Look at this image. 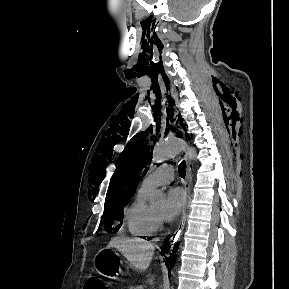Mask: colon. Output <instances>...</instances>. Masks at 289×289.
Instances as JSON below:
<instances>
[{
    "mask_svg": "<svg viewBox=\"0 0 289 289\" xmlns=\"http://www.w3.org/2000/svg\"><path fill=\"white\" fill-rule=\"evenodd\" d=\"M84 289H105V283L100 278H90L86 282Z\"/></svg>",
    "mask_w": 289,
    "mask_h": 289,
    "instance_id": "obj_1",
    "label": "colon"
}]
</instances>
